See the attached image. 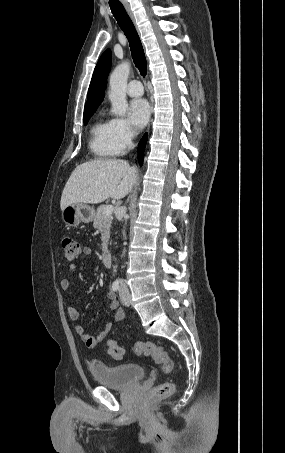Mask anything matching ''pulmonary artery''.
<instances>
[{"label": "pulmonary artery", "mask_w": 285, "mask_h": 453, "mask_svg": "<svg viewBox=\"0 0 285 453\" xmlns=\"http://www.w3.org/2000/svg\"><path fill=\"white\" fill-rule=\"evenodd\" d=\"M127 93L131 97L142 96L144 93L142 83L137 79L131 80L127 86Z\"/></svg>", "instance_id": "e3ab8cb5"}]
</instances>
